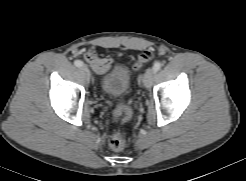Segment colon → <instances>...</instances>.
<instances>
[{
	"mask_svg": "<svg viewBox=\"0 0 246 181\" xmlns=\"http://www.w3.org/2000/svg\"><path fill=\"white\" fill-rule=\"evenodd\" d=\"M151 59L150 52H143L138 56L137 63L135 65L136 68H140L144 66ZM117 115L122 116L123 122H126L131 117V110L128 106H121L116 110ZM126 144V139L123 134L115 133L113 134L108 142L109 148L113 151H121L124 149Z\"/></svg>",
	"mask_w": 246,
	"mask_h": 181,
	"instance_id": "1",
	"label": "colon"
}]
</instances>
